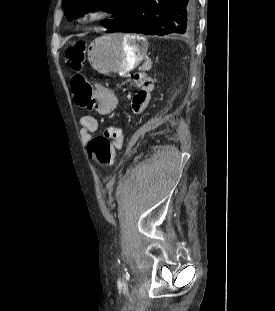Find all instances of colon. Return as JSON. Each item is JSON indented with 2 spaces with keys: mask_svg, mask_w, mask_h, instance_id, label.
I'll return each instance as SVG.
<instances>
[{
  "mask_svg": "<svg viewBox=\"0 0 275 311\" xmlns=\"http://www.w3.org/2000/svg\"><path fill=\"white\" fill-rule=\"evenodd\" d=\"M85 46L76 43L66 49L65 56L69 65L76 71L72 78L74 100L80 107H91L93 104V88L86 78L80 73L84 60ZM114 142L105 135L93 138L88 144V154L91 160L99 167H110L113 163Z\"/></svg>",
  "mask_w": 275,
  "mask_h": 311,
  "instance_id": "5ec220e1",
  "label": "colon"
}]
</instances>
